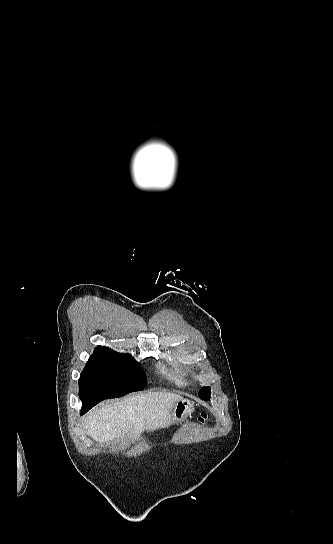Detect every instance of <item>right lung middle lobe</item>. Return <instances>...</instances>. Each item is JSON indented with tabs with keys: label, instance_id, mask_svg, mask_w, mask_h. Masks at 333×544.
<instances>
[{
	"label": "right lung middle lobe",
	"instance_id": "dd1d6c3e",
	"mask_svg": "<svg viewBox=\"0 0 333 544\" xmlns=\"http://www.w3.org/2000/svg\"><path fill=\"white\" fill-rule=\"evenodd\" d=\"M146 385L143 369L129 354L108 350L90 356L79 379V396L85 413L100 401L140 391Z\"/></svg>",
	"mask_w": 333,
	"mask_h": 544
}]
</instances>
